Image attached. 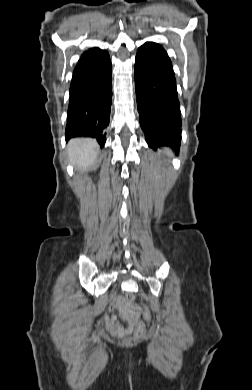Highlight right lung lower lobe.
Segmentation results:
<instances>
[{
	"label": "right lung lower lobe",
	"instance_id": "right-lung-lower-lobe-1",
	"mask_svg": "<svg viewBox=\"0 0 252 390\" xmlns=\"http://www.w3.org/2000/svg\"><path fill=\"white\" fill-rule=\"evenodd\" d=\"M111 65L102 73L71 81L66 140L76 136L96 138L101 147L111 110Z\"/></svg>",
	"mask_w": 252,
	"mask_h": 390
}]
</instances>
